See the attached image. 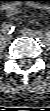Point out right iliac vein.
<instances>
[{
  "mask_svg": "<svg viewBox=\"0 0 50 111\" xmlns=\"http://www.w3.org/2000/svg\"><path fill=\"white\" fill-rule=\"evenodd\" d=\"M11 38H12V36L9 34V35H6V36H5L4 40H5V41H10Z\"/></svg>",
  "mask_w": 50,
  "mask_h": 111,
  "instance_id": "obj_1",
  "label": "right iliac vein"
}]
</instances>
